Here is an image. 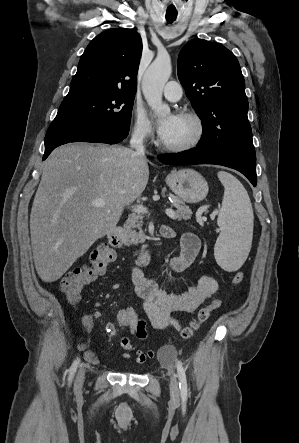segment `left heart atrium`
Here are the masks:
<instances>
[{
    "label": "left heart atrium",
    "instance_id": "1",
    "mask_svg": "<svg viewBox=\"0 0 299 443\" xmlns=\"http://www.w3.org/2000/svg\"><path fill=\"white\" fill-rule=\"evenodd\" d=\"M177 120L178 116L171 114L157 122V132L162 139L172 131Z\"/></svg>",
    "mask_w": 299,
    "mask_h": 443
}]
</instances>
